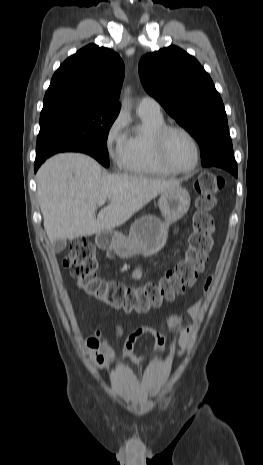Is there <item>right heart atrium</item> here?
Wrapping results in <instances>:
<instances>
[{
    "label": "right heart atrium",
    "instance_id": "obj_1",
    "mask_svg": "<svg viewBox=\"0 0 263 465\" xmlns=\"http://www.w3.org/2000/svg\"><path fill=\"white\" fill-rule=\"evenodd\" d=\"M126 121L118 114L106 129L104 145L107 156L119 168L124 167L127 153Z\"/></svg>",
    "mask_w": 263,
    "mask_h": 465
}]
</instances>
